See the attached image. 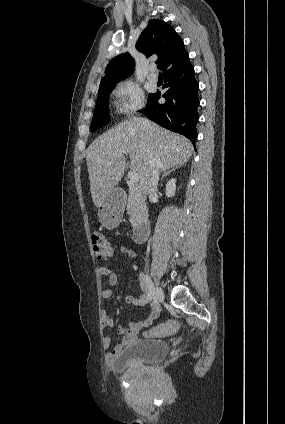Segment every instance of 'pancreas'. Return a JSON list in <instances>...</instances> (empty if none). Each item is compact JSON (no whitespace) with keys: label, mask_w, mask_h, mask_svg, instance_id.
Segmentation results:
<instances>
[{"label":"pancreas","mask_w":285,"mask_h":424,"mask_svg":"<svg viewBox=\"0 0 285 424\" xmlns=\"http://www.w3.org/2000/svg\"><path fill=\"white\" fill-rule=\"evenodd\" d=\"M127 213L130 215V223L133 227H135L147 213L145 198L135 187H130L129 189Z\"/></svg>","instance_id":"cf45deb5"}]
</instances>
